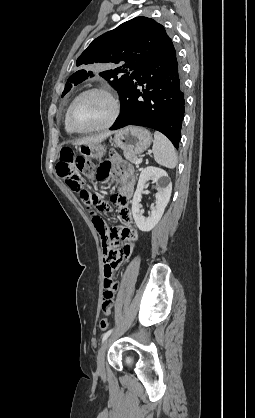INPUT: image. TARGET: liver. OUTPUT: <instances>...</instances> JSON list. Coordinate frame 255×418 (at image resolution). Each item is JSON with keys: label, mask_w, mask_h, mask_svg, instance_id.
<instances>
[{"label": "liver", "mask_w": 255, "mask_h": 418, "mask_svg": "<svg viewBox=\"0 0 255 418\" xmlns=\"http://www.w3.org/2000/svg\"><path fill=\"white\" fill-rule=\"evenodd\" d=\"M112 132H105L96 136L86 137L74 142L75 145H91V144H100L107 137H109Z\"/></svg>", "instance_id": "1"}]
</instances>
